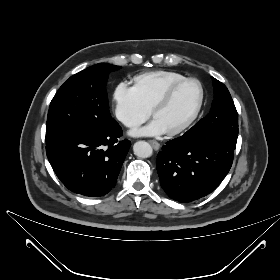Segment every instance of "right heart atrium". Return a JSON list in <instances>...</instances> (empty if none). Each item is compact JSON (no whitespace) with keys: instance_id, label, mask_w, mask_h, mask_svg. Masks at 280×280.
Segmentation results:
<instances>
[{"instance_id":"1","label":"right heart atrium","mask_w":280,"mask_h":280,"mask_svg":"<svg viewBox=\"0 0 280 280\" xmlns=\"http://www.w3.org/2000/svg\"><path fill=\"white\" fill-rule=\"evenodd\" d=\"M115 113L118 120L129 128L144 123L150 110L141 100L134 86L120 82L114 90Z\"/></svg>"}]
</instances>
